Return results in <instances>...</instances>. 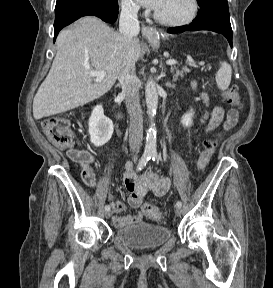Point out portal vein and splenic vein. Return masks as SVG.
<instances>
[{"label":"portal vein and splenic vein","instance_id":"18ae733b","mask_svg":"<svg viewBox=\"0 0 273 288\" xmlns=\"http://www.w3.org/2000/svg\"><path fill=\"white\" fill-rule=\"evenodd\" d=\"M166 64L167 65H174V64H176V61L170 59V60L166 61ZM189 65L195 66L194 64H191V63ZM89 75L91 77L96 78V82H100L105 77L106 73H105V71H91L89 73Z\"/></svg>","mask_w":273,"mask_h":288}]
</instances>
